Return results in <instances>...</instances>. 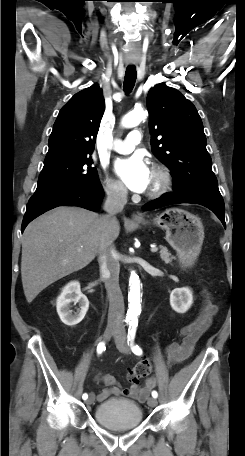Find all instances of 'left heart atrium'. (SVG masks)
I'll list each match as a JSON object with an SVG mask.
<instances>
[{"mask_svg": "<svg viewBox=\"0 0 245 456\" xmlns=\"http://www.w3.org/2000/svg\"><path fill=\"white\" fill-rule=\"evenodd\" d=\"M114 172L134 192L140 193L148 188L150 169L139 154L117 159L114 163Z\"/></svg>", "mask_w": 245, "mask_h": 456, "instance_id": "1", "label": "left heart atrium"}]
</instances>
